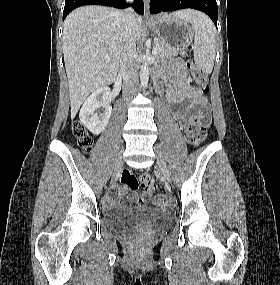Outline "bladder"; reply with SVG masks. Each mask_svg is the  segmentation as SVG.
I'll list each match as a JSON object with an SVG mask.
<instances>
[{"label":"bladder","instance_id":"bladder-1","mask_svg":"<svg viewBox=\"0 0 280 285\" xmlns=\"http://www.w3.org/2000/svg\"><path fill=\"white\" fill-rule=\"evenodd\" d=\"M105 226L119 233L131 232L141 227L149 225L155 230L164 229L170 222V217L163 211L153 208L140 210H115L103 213Z\"/></svg>","mask_w":280,"mask_h":285}]
</instances>
